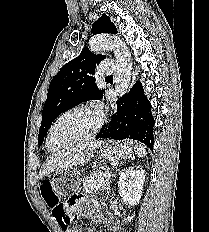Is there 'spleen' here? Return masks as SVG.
<instances>
[{
	"label": "spleen",
	"instance_id": "3e777b00",
	"mask_svg": "<svg viewBox=\"0 0 209 232\" xmlns=\"http://www.w3.org/2000/svg\"><path fill=\"white\" fill-rule=\"evenodd\" d=\"M136 154H138L139 157L146 156V149L141 143H137L135 146Z\"/></svg>",
	"mask_w": 209,
	"mask_h": 232
}]
</instances>
